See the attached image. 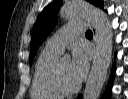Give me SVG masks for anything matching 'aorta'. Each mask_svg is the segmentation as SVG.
<instances>
[{
  "mask_svg": "<svg viewBox=\"0 0 128 99\" xmlns=\"http://www.w3.org/2000/svg\"><path fill=\"white\" fill-rule=\"evenodd\" d=\"M60 15L66 19L88 18L95 28L96 54L84 90V99H98L111 62L113 34L107 16L84 0H69ZM65 54L63 59H68Z\"/></svg>",
  "mask_w": 128,
  "mask_h": 99,
  "instance_id": "1",
  "label": "aorta"
}]
</instances>
